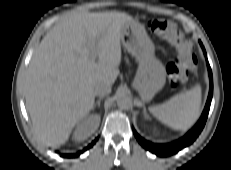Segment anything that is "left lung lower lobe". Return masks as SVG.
Wrapping results in <instances>:
<instances>
[{
  "label": "left lung lower lobe",
  "instance_id": "left-lung-lower-lobe-1",
  "mask_svg": "<svg viewBox=\"0 0 231 170\" xmlns=\"http://www.w3.org/2000/svg\"><path fill=\"white\" fill-rule=\"evenodd\" d=\"M204 50V48H203ZM205 53V50H204ZM206 55V53H205ZM208 71H209V78H210V91H209V96H208V100L205 106V109L203 111V114L200 118V120L198 121V123L196 124V126L190 130L184 137H182L181 139L169 143V144H155V143H151L149 141H146L145 139H143L142 137H140L137 132L135 130L134 131V135L137 138L138 142L147 150L157 154V155H161V156H167V155H172L177 153L179 150H181L182 148L188 146L189 144H191L200 134V132L202 131L207 117H208V113H209V109H210V104H211V100H212V95H213V78H212V71L211 68L208 64Z\"/></svg>",
  "mask_w": 231,
  "mask_h": 170
}]
</instances>
